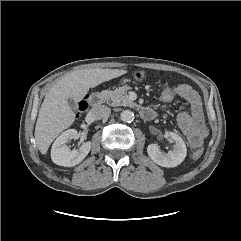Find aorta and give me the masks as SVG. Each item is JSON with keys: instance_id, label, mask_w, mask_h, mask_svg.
<instances>
[{"instance_id": "aorta-1", "label": "aorta", "mask_w": 241, "mask_h": 241, "mask_svg": "<svg viewBox=\"0 0 241 241\" xmlns=\"http://www.w3.org/2000/svg\"><path fill=\"white\" fill-rule=\"evenodd\" d=\"M120 119L123 122H132L134 120V113L130 110H123L120 114Z\"/></svg>"}]
</instances>
